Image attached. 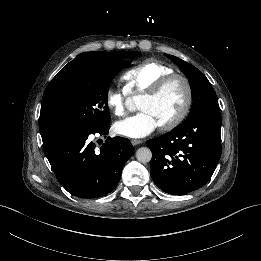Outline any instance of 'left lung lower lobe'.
Masks as SVG:
<instances>
[{
    "label": "left lung lower lobe",
    "instance_id": "0a47b994",
    "mask_svg": "<svg viewBox=\"0 0 261 261\" xmlns=\"http://www.w3.org/2000/svg\"><path fill=\"white\" fill-rule=\"evenodd\" d=\"M221 123L220 114L204 113L147 141L151 177L162 191L185 195L207 184L221 156Z\"/></svg>",
    "mask_w": 261,
    "mask_h": 261
}]
</instances>
